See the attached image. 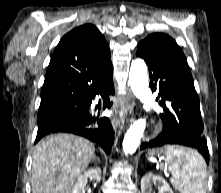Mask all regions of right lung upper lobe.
Instances as JSON below:
<instances>
[{"label":"right lung upper lobe","instance_id":"obj_1","mask_svg":"<svg viewBox=\"0 0 221 193\" xmlns=\"http://www.w3.org/2000/svg\"><path fill=\"white\" fill-rule=\"evenodd\" d=\"M112 68L104 36L91 24L67 33L57 45L47 69L41 102L84 99L92 84Z\"/></svg>","mask_w":221,"mask_h":193}]
</instances>
